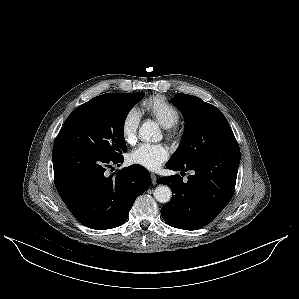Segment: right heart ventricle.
<instances>
[{"label": "right heart ventricle", "instance_id": "e07e8e85", "mask_svg": "<svg viewBox=\"0 0 299 299\" xmlns=\"http://www.w3.org/2000/svg\"><path fill=\"white\" fill-rule=\"evenodd\" d=\"M142 110L157 120L164 128H171L180 120L179 110L164 96H153L141 104Z\"/></svg>", "mask_w": 299, "mask_h": 299}]
</instances>
